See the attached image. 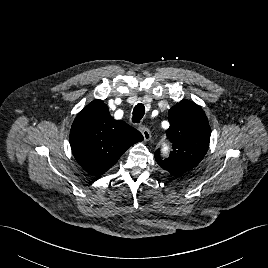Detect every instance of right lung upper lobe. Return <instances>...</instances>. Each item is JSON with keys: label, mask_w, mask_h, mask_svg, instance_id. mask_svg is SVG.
<instances>
[{"label": "right lung upper lobe", "mask_w": 268, "mask_h": 268, "mask_svg": "<svg viewBox=\"0 0 268 268\" xmlns=\"http://www.w3.org/2000/svg\"><path fill=\"white\" fill-rule=\"evenodd\" d=\"M70 145L80 166L94 175H102L142 134L122 120H115L102 100L88 104L74 120Z\"/></svg>", "instance_id": "1"}]
</instances>
